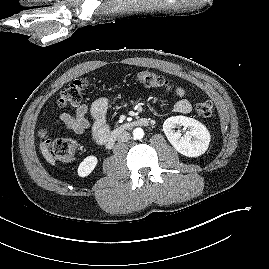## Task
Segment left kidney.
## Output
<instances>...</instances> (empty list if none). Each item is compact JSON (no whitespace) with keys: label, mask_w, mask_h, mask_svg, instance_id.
<instances>
[{"label":"left kidney","mask_w":269,"mask_h":269,"mask_svg":"<svg viewBox=\"0 0 269 269\" xmlns=\"http://www.w3.org/2000/svg\"><path fill=\"white\" fill-rule=\"evenodd\" d=\"M176 126L188 129L186 135L175 131ZM163 131L171 145L182 155L198 157L206 152L210 143V133L205 125L186 116H172L163 124Z\"/></svg>","instance_id":"left-kidney-1"}]
</instances>
